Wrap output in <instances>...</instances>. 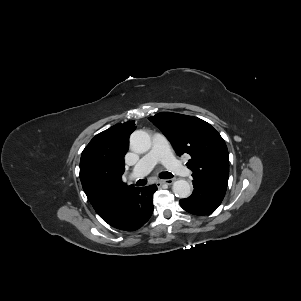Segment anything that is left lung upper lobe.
<instances>
[{"instance_id": "left-lung-upper-lobe-1", "label": "left lung upper lobe", "mask_w": 301, "mask_h": 301, "mask_svg": "<svg viewBox=\"0 0 301 301\" xmlns=\"http://www.w3.org/2000/svg\"><path fill=\"white\" fill-rule=\"evenodd\" d=\"M172 144L179 156L187 153L193 177L227 188L229 158L225 141L207 122L171 112L149 117Z\"/></svg>"}]
</instances>
